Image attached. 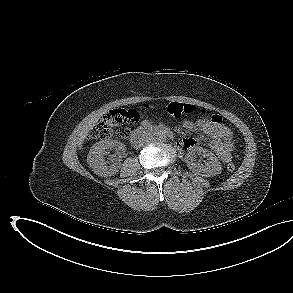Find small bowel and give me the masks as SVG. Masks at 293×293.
<instances>
[{"label":"small bowel","mask_w":293,"mask_h":293,"mask_svg":"<svg viewBox=\"0 0 293 293\" xmlns=\"http://www.w3.org/2000/svg\"><path fill=\"white\" fill-rule=\"evenodd\" d=\"M148 124V122L144 123V125ZM182 125L187 130L200 131L207 139L210 148L223 163L231 160L233 150L232 133L226 126L203 118L195 123L190 120H184ZM196 144L197 141L194 138H183L178 142V147L181 150H187Z\"/></svg>","instance_id":"small-bowel-1"}]
</instances>
